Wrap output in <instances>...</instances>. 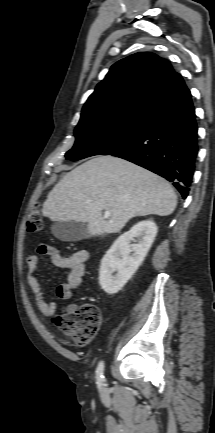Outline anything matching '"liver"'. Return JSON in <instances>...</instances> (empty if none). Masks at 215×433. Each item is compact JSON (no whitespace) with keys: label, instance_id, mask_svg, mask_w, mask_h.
<instances>
[{"label":"liver","instance_id":"6515ba94","mask_svg":"<svg viewBox=\"0 0 215 433\" xmlns=\"http://www.w3.org/2000/svg\"><path fill=\"white\" fill-rule=\"evenodd\" d=\"M177 196L162 177L121 158L94 157L51 190L42 213L52 221L88 223L91 235L117 233L132 218L168 216ZM102 211L111 215L105 218Z\"/></svg>","mask_w":215,"mask_h":433}]
</instances>
